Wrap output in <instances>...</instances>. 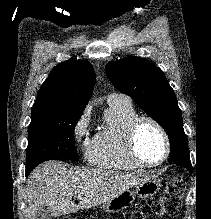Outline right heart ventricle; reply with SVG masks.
<instances>
[{
	"mask_svg": "<svg viewBox=\"0 0 211 219\" xmlns=\"http://www.w3.org/2000/svg\"><path fill=\"white\" fill-rule=\"evenodd\" d=\"M138 116L129 100L108 102L106 127L87 144L85 156L96 167L119 171L136 170L138 166L129 156L126 148V130L129 123Z\"/></svg>",
	"mask_w": 211,
	"mask_h": 219,
	"instance_id": "1",
	"label": "right heart ventricle"
}]
</instances>
